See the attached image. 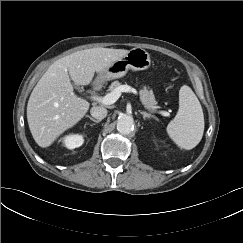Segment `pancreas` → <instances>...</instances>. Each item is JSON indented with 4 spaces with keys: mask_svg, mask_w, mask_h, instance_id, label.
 <instances>
[{
    "mask_svg": "<svg viewBox=\"0 0 243 243\" xmlns=\"http://www.w3.org/2000/svg\"><path fill=\"white\" fill-rule=\"evenodd\" d=\"M121 86V83L119 81H114L109 86V91H114L116 88ZM140 93V99L142 104L150 111L155 112L157 109V102L155 100L153 91L147 87L142 86V88L139 90Z\"/></svg>",
    "mask_w": 243,
    "mask_h": 243,
    "instance_id": "pancreas-1",
    "label": "pancreas"
}]
</instances>
